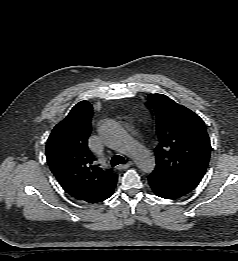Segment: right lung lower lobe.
Here are the masks:
<instances>
[{
	"label": "right lung lower lobe",
	"instance_id": "right-lung-lower-lobe-1",
	"mask_svg": "<svg viewBox=\"0 0 238 261\" xmlns=\"http://www.w3.org/2000/svg\"><path fill=\"white\" fill-rule=\"evenodd\" d=\"M114 188H115V187H114ZM114 188H113L105 197H103L102 199L98 200L97 202L103 201V200L109 198V197L112 195Z\"/></svg>",
	"mask_w": 238,
	"mask_h": 261
}]
</instances>
